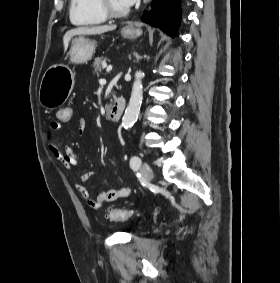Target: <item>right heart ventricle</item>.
Here are the masks:
<instances>
[{
    "mask_svg": "<svg viewBox=\"0 0 280 283\" xmlns=\"http://www.w3.org/2000/svg\"><path fill=\"white\" fill-rule=\"evenodd\" d=\"M69 16L71 22L78 26L100 24L107 19L99 9L97 0H71Z\"/></svg>",
    "mask_w": 280,
    "mask_h": 283,
    "instance_id": "right-heart-ventricle-1",
    "label": "right heart ventricle"
}]
</instances>
